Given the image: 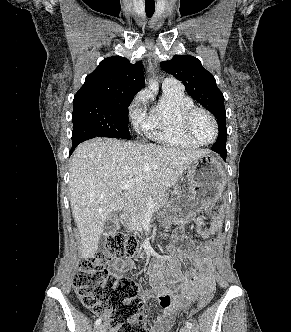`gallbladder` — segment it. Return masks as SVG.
Segmentation results:
<instances>
[{
	"label": "gallbladder",
	"mask_w": 291,
	"mask_h": 332,
	"mask_svg": "<svg viewBox=\"0 0 291 332\" xmlns=\"http://www.w3.org/2000/svg\"><path fill=\"white\" fill-rule=\"evenodd\" d=\"M119 221L115 213L111 214L105 221L103 226V235H113L118 230Z\"/></svg>",
	"instance_id": "1"
}]
</instances>
